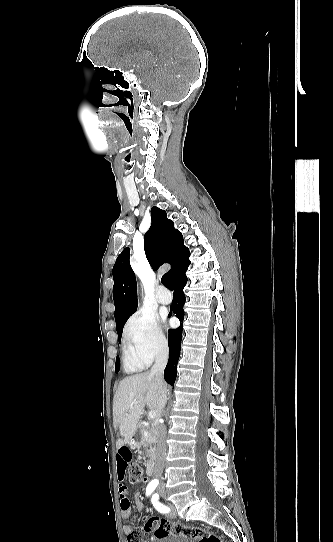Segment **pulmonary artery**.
<instances>
[{
	"label": "pulmonary artery",
	"mask_w": 333,
	"mask_h": 542,
	"mask_svg": "<svg viewBox=\"0 0 333 542\" xmlns=\"http://www.w3.org/2000/svg\"><path fill=\"white\" fill-rule=\"evenodd\" d=\"M159 302L163 305H168L171 303V291L167 288L166 285L161 284L157 288Z\"/></svg>",
	"instance_id": "e3ab8cb5"
}]
</instances>
